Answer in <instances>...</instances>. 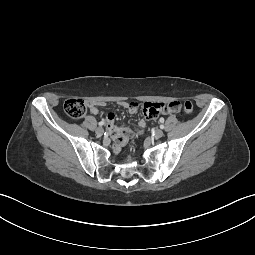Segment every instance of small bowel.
Wrapping results in <instances>:
<instances>
[{
	"label": "small bowel",
	"instance_id": "1",
	"mask_svg": "<svg viewBox=\"0 0 255 255\" xmlns=\"http://www.w3.org/2000/svg\"><path fill=\"white\" fill-rule=\"evenodd\" d=\"M123 107L127 108L130 112H134L136 110L137 103H120ZM104 103H96L90 102L89 108L90 112L93 115L98 114V106H102ZM183 110V105L181 102L177 100L168 99L165 102L158 103H144L143 105V113L146 119H154L159 114H179ZM116 115L114 113H109L106 118V123L109 128L111 136L115 140V149H120L128 140L129 136L133 134V130L125 127H117L115 126ZM145 124L143 121L138 123V128L143 129Z\"/></svg>",
	"mask_w": 255,
	"mask_h": 255
}]
</instances>
